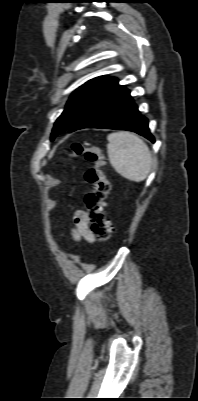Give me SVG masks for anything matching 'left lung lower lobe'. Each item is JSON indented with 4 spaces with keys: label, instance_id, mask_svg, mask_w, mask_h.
Instances as JSON below:
<instances>
[{
    "label": "left lung lower lobe",
    "instance_id": "0a47b994",
    "mask_svg": "<svg viewBox=\"0 0 198 401\" xmlns=\"http://www.w3.org/2000/svg\"><path fill=\"white\" fill-rule=\"evenodd\" d=\"M82 128H111L136 132L154 142L148 120L140 114L130 92L116 78L94 98L68 132Z\"/></svg>",
    "mask_w": 198,
    "mask_h": 401
}]
</instances>
